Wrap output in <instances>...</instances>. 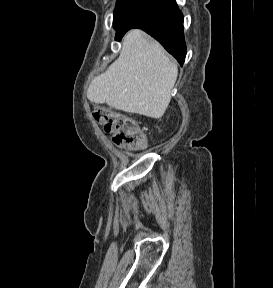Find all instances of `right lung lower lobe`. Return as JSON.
Masks as SVG:
<instances>
[{"label":"right lung lower lobe","mask_w":273,"mask_h":288,"mask_svg":"<svg viewBox=\"0 0 273 288\" xmlns=\"http://www.w3.org/2000/svg\"><path fill=\"white\" fill-rule=\"evenodd\" d=\"M114 28L118 41L129 29L144 30L183 65L186 56L183 15L175 0H138Z\"/></svg>","instance_id":"98d812e1"}]
</instances>
